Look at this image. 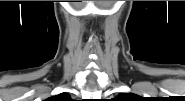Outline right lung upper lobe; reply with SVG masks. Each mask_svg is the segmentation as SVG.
Returning a JSON list of instances; mask_svg holds the SVG:
<instances>
[{"instance_id":"cb5924a9","label":"right lung upper lobe","mask_w":185,"mask_h":101,"mask_svg":"<svg viewBox=\"0 0 185 101\" xmlns=\"http://www.w3.org/2000/svg\"><path fill=\"white\" fill-rule=\"evenodd\" d=\"M49 100H52V101H71V97H70V95H68L66 93H61L59 95H56V96L49 98Z\"/></svg>"}]
</instances>
